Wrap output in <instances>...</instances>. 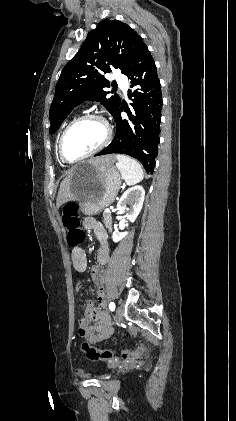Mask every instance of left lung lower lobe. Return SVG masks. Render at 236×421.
I'll return each mask as SVG.
<instances>
[{
	"instance_id": "obj_1",
	"label": "left lung lower lobe",
	"mask_w": 236,
	"mask_h": 421,
	"mask_svg": "<svg viewBox=\"0 0 236 421\" xmlns=\"http://www.w3.org/2000/svg\"><path fill=\"white\" fill-rule=\"evenodd\" d=\"M136 90L129 98L132 111H127L129 120L121 117L123 103L114 114L117 130L109 146L95 156L126 154L139 160L146 172L153 173L158 152L162 97L156 66L147 46L142 44L125 74ZM132 97H134L132 99Z\"/></svg>"
}]
</instances>
